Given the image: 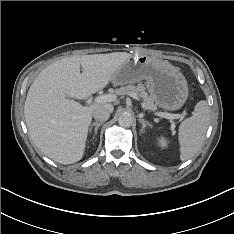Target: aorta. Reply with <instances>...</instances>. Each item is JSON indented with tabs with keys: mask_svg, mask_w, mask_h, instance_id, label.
<instances>
[{
	"mask_svg": "<svg viewBox=\"0 0 234 234\" xmlns=\"http://www.w3.org/2000/svg\"><path fill=\"white\" fill-rule=\"evenodd\" d=\"M118 123L121 127H130L133 123V118L129 113H122L118 118Z\"/></svg>",
	"mask_w": 234,
	"mask_h": 234,
	"instance_id": "1",
	"label": "aorta"
}]
</instances>
